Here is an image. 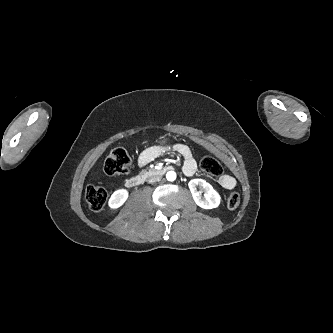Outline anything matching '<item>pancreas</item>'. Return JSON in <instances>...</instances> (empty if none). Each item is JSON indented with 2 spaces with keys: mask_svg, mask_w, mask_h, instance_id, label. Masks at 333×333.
Wrapping results in <instances>:
<instances>
[{
  "mask_svg": "<svg viewBox=\"0 0 333 333\" xmlns=\"http://www.w3.org/2000/svg\"><path fill=\"white\" fill-rule=\"evenodd\" d=\"M145 173V171H142L140 174H144Z\"/></svg>",
  "mask_w": 333,
  "mask_h": 333,
  "instance_id": "cf45deb5",
  "label": "pancreas"
}]
</instances>
